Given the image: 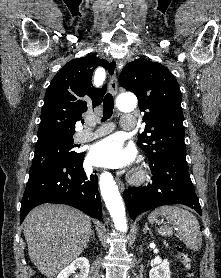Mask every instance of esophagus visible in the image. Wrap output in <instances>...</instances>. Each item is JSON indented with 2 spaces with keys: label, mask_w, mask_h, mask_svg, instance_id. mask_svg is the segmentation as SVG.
<instances>
[{
  "label": "esophagus",
  "mask_w": 221,
  "mask_h": 278,
  "mask_svg": "<svg viewBox=\"0 0 221 278\" xmlns=\"http://www.w3.org/2000/svg\"><path fill=\"white\" fill-rule=\"evenodd\" d=\"M114 66V72L110 76V81H109V89L113 95L117 94V89H118V80H117V72H118V62H112L111 63ZM118 186L121 191L124 190V184L120 181L119 178H116Z\"/></svg>",
  "instance_id": "1"
}]
</instances>
